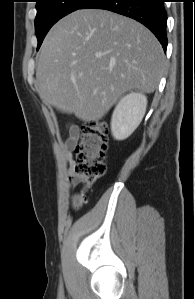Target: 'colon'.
I'll return each instance as SVG.
<instances>
[{"mask_svg": "<svg viewBox=\"0 0 195 299\" xmlns=\"http://www.w3.org/2000/svg\"><path fill=\"white\" fill-rule=\"evenodd\" d=\"M107 127L100 121L86 122L75 145L76 164L73 184L79 186L73 206L79 208L87 200L88 192L97 179L106 172L105 159L108 151Z\"/></svg>", "mask_w": 195, "mask_h": 299, "instance_id": "5ec220e1", "label": "colon"}]
</instances>
